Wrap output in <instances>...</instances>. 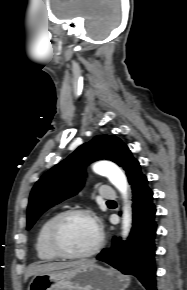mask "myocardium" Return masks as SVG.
<instances>
[{
  "label": "myocardium",
  "instance_id": "obj_1",
  "mask_svg": "<svg viewBox=\"0 0 187 290\" xmlns=\"http://www.w3.org/2000/svg\"><path fill=\"white\" fill-rule=\"evenodd\" d=\"M73 216H84V217L89 218L94 223L97 229L98 239L95 245L86 252H82V253L69 252L65 250L60 244V240H59L60 227L62 226L64 221H66L68 218L73 217ZM103 241H104V233L95 214L92 211L83 209V208L69 209L58 214L53 220V222L51 223L49 231H48V244L51 251L59 258H64V259L90 258L99 252V250L101 249L103 245Z\"/></svg>",
  "mask_w": 187,
  "mask_h": 290
}]
</instances>
